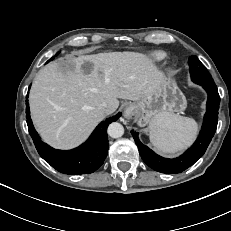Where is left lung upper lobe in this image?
<instances>
[{"label": "left lung upper lobe", "instance_id": "5c2ea615", "mask_svg": "<svg viewBox=\"0 0 231 231\" xmlns=\"http://www.w3.org/2000/svg\"><path fill=\"white\" fill-rule=\"evenodd\" d=\"M188 64L193 82L200 85L216 86L211 75L197 58V56L190 57Z\"/></svg>", "mask_w": 231, "mask_h": 231}]
</instances>
